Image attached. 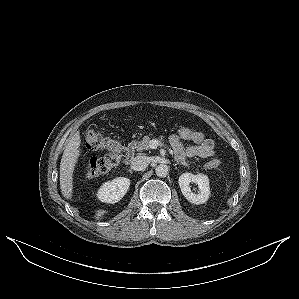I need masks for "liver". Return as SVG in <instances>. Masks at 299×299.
<instances>
[{"label":"liver","mask_w":299,"mask_h":299,"mask_svg":"<svg viewBox=\"0 0 299 299\" xmlns=\"http://www.w3.org/2000/svg\"><path fill=\"white\" fill-rule=\"evenodd\" d=\"M80 133L77 131L68 142L60 163V189L66 199L72 198L73 172L80 155Z\"/></svg>","instance_id":"1"}]
</instances>
